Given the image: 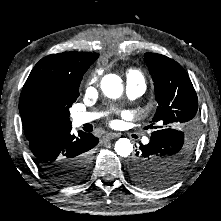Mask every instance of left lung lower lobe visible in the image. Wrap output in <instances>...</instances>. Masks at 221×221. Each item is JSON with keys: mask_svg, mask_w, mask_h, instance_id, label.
<instances>
[{"mask_svg": "<svg viewBox=\"0 0 221 221\" xmlns=\"http://www.w3.org/2000/svg\"><path fill=\"white\" fill-rule=\"evenodd\" d=\"M174 136L176 135L173 133L171 129H162L152 133L150 137V142L148 144L146 145L140 144L139 150L137 151L136 155L134 156V158H132L129 164L130 175L133 181L141 178L142 176H144V173L147 172L145 171V169L148 168L145 157L148 156L150 153H153V151L158 147V145L161 142L165 140L168 141L174 140L173 138ZM152 171H155L154 173H151L154 174L151 176L153 177L152 180H154L153 182H157V180H160L157 179V177H161V175L157 173V171L159 170H152Z\"/></svg>", "mask_w": 221, "mask_h": 221, "instance_id": "1", "label": "left lung lower lobe"}]
</instances>
